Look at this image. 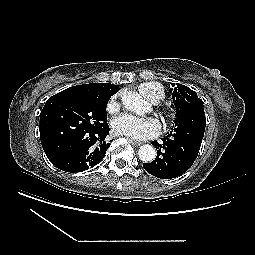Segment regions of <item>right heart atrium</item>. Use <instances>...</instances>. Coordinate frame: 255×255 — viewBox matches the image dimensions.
Returning <instances> with one entry per match:
<instances>
[{"label":"right heart atrium","mask_w":255,"mask_h":255,"mask_svg":"<svg viewBox=\"0 0 255 255\" xmlns=\"http://www.w3.org/2000/svg\"><path fill=\"white\" fill-rule=\"evenodd\" d=\"M118 108H119V105H118V103L116 102L115 97H114V98H112V99L108 102V104H107V110H108L109 112H115V111L118 110Z\"/></svg>","instance_id":"right-heart-atrium-1"}]
</instances>
